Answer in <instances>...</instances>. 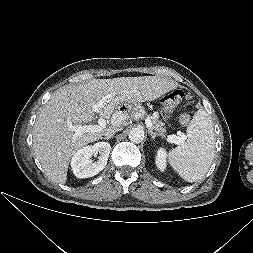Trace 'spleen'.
<instances>
[{
	"mask_svg": "<svg viewBox=\"0 0 253 253\" xmlns=\"http://www.w3.org/2000/svg\"><path fill=\"white\" fill-rule=\"evenodd\" d=\"M213 123L203 109L193 116L187 128V140L169 152V163L187 182L202 179L214 157Z\"/></svg>",
	"mask_w": 253,
	"mask_h": 253,
	"instance_id": "spleen-1",
	"label": "spleen"
}]
</instances>
